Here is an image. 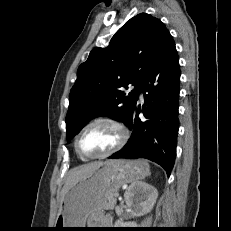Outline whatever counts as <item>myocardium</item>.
<instances>
[{"label":"myocardium","instance_id":"f54148a6","mask_svg":"<svg viewBox=\"0 0 231 231\" xmlns=\"http://www.w3.org/2000/svg\"><path fill=\"white\" fill-rule=\"evenodd\" d=\"M98 123H107L115 127L119 133V140L114 147H112L111 149H109L108 151L104 153H101L98 155H92V156L84 155L79 148L80 137L87 128H89L92 125L98 124ZM128 138H129V132L126 126L121 121H119L118 119L112 118V117H98V118L91 120L90 122H88L86 125L82 127V129L76 135L74 147H75L76 153L81 159H84V160L99 159V158H105L110 155H113L119 150H121L126 144Z\"/></svg>","mask_w":231,"mask_h":231}]
</instances>
